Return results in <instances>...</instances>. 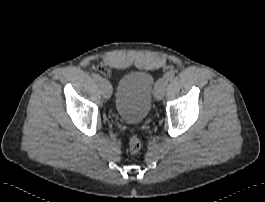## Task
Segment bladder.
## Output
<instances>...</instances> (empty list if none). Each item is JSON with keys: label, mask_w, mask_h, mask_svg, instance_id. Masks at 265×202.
I'll use <instances>...</instances> for the list:
<instances>
[{"label": "bladder", "mask_w": 265, "mask_h": 202, "mask_svg": "<svg viewBox=\"0 0 265 202\" xmlns=\"http://www.w3.org/2000/svg\"><path fill=\"white\" fill-rule=\"evenodd\" d=\"M153 77L145 71L124 75L116 88L115 110L130 124L143 122L149 114L155 90Z\"/></svg>", "instance_id": "31cf9c89"}]
</instances>
